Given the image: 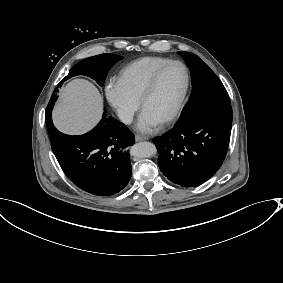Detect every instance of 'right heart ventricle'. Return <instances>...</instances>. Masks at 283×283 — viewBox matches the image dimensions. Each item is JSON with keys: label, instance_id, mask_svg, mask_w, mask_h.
<instances>
[{"label": "right heart ventricle", "instance_id": "right-heart-ventricle-1", "mask_svg": "<svg viewBox=\"0 0 283 283\" xmlns=\"http://www.w3.org/2000/svg\"><path fill=\"white\" fill-rule=\"evenodd\" d=\"M165 56H146L124 66L118 74L125 91L134 100L139 97L149 76L160 66L171 61Z\"/></svg>", "mask_w": 283, "mask_h": 283}]
</instances>
